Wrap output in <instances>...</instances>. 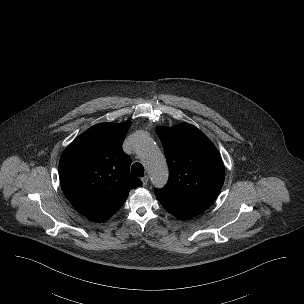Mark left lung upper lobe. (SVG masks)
<instances>
[{
    "mask_svg": "<svg viewBox=\"0 0 304 304\" xmlns=\"http://www.w3.org/2000/svg\"><path fill=\"white\" fill-rule=\"evenodd\" d=\"M156 131L170 172L167 185L155 189L158 201L191 217L203 213L224 183L225 172L217 148L190 124L157 127Z\"/></svg>",
    "mask_w": 304,
    "mask_h": 304,
    "instance_id": "1",
    "label": "left lung upper lobe"
}]
</instances>
